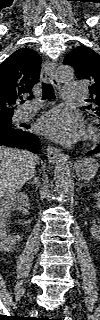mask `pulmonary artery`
Instances as JSON below:
<instances>
[{
	"label": "pulmonary artery",
	"instance_id": "e3ab8cb5",
	"mask_svg": "<svg viewBox=\"0 0 100 320\" xmlns=\"http://www.w3.org/2000/svg\"><path fill=\"white\" fill-rule=\"evenodd\" d=\"M83 93V85L81 83H68L65 84L62 88V99L64 101H75ZM39 103H29L26 105L23 116L27 117L40 108Z\"/></svg>",
	"mask_w": 100,
	"mask_h": 320
}]
</instances>
